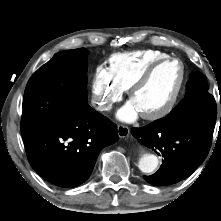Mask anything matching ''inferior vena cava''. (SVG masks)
<instances>
[{
  "instance_id": "602c4592",
  "label": "inferior vena cava",
  "mask_w": 221,
  "mask_h": 221,
  "mask_svg": "<svg viewBox=\"0 0 221 221\" xmlns=\"http://www.w3.org/2000/svg\"><path fill=\"white\" fill-rule=\"evenodd\" d=\"M97 109L100 111L110 110L111 106L110 105H101V106H98Z\"/></svg>"
}]
</instances>
